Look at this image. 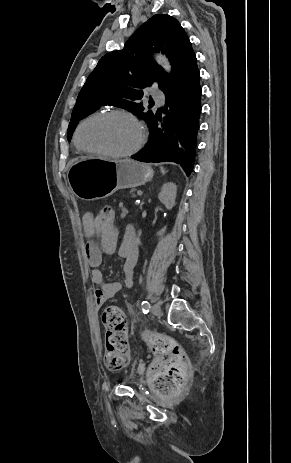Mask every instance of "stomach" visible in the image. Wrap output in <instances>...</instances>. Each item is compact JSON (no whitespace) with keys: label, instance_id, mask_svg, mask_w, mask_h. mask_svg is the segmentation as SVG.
<instances>
[{"label":"stomach","instance_id":"1","mask_svg":"<svg viewBox=\"0 0 291 463\" xmlns=\"http://www.w3.org/2000/svg\"><path fill=\"white\" fill-rule=\"evenodd\" d=\"M153 177V169L129 159L83 157L73 159L67 180L73 193L82 200H97L119 189L143 185Z\"/></svg>","mask_w":291,"mask_h":463}]
</instances>
